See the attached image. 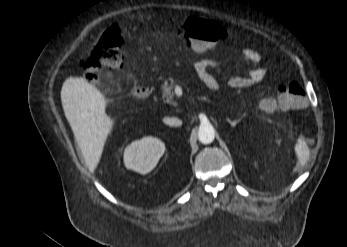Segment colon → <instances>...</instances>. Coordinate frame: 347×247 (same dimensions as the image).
Returning a JSON list of instances; mask_svg holds the SVG:
<instances>
[{"label":"colon","instance_id":"obj_1","mask_svg":"<svg viewBox=\"0 0 347 247\" xmlns=\"http://www.w3.org/2000/svg\"><path fill=\"white\" fill-rule=\"evenodd\" d=\"M125 28L114 25L105 30L83 59L81 66L85 77L99 84L108 71H115L123 63V34ZM179 34L197 52L214 50L227 37V31L219 23L197 16H191L181 25ZM277 96L263 99L259 108L267 113L276 109L296 110L306 105L303 86L295 81L281 85Z\"/></svg>","mask_w":347,"mask_h":247}]
</instances>
